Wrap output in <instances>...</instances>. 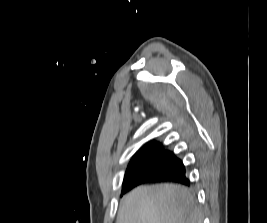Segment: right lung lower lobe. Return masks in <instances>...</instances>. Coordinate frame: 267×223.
<instances>
[{"instance_id": "1", "label": "right lung lower lobe", "mask_w": 267, "mask_h": 223, "mask_svg": "<svg viewBox=\"0 0 267 223\" xmlns=\"http://www.w3.org/2000/svg\"><path fill=\"white\" fill-rule=\"evenodd\" d=\"M185 174H186L185 166L181 162L178 167H176L169 173H163L160 171L158 172L142 171L132 175H126L123 182L122 192L125 193L137 185L150 182L173 181L184 185H189L190 181Z\"/></svg>"}]
</instances>
